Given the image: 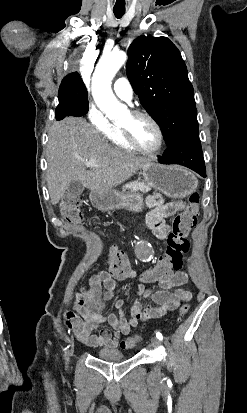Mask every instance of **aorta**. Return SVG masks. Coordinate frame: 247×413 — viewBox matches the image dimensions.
<instances>
[{"instance_id": "762f6f07", "label": "aorta", "mask_w": 247, "mask_h": 413, "mask_svg": "<svg viewBox=\"0 0 247 413\" xmlns=\"http://www.w3.org/2000/svg\"><path fill=\"white\" fill-rule=\"evenodd\" d=\"M127 59L123 51L105 53L100 58L92 77V95L98 107L110 119L121 116L125 106L119 103L111 89L115 74Z\"/></svg>"}]
</instances>
